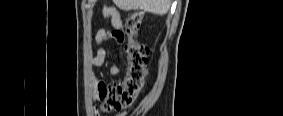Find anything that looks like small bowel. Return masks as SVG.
Listing matches in <instances>:
<instances>
[{
	"instance_id": "c3829d8e",
	"label": "small bowel",
	"mask_w": 283,
	"mask_h": 116,
	"mask_svg": "<svg viewBox=\"0 0 283 116\" xmlns=\"http://www.w3.org/2000/svg\"><path fill=\"white\" fill-rule=\"evenodd\" d=\"M102 13L105 17L110 18L112 29L109 31L105 28H100L95 35L94 40H95L97 49H96L95 55L90 60L91 65L94 67H101L105 64L106 57H107V50L103 46V44L106 41L114 38L118 42H120L117 37V34L120 32V29L122 27V21H121L119 12L115 8L104 6L102 8ZM119 72H120V68H119L118 62L114 61L109 66V74L112 77H116L119 74ZM98 85H99V81L95 80L94 86H98ZM93 114L95 116L99 115L96 107L94 108Z\"/></svg>"
}]
</instances>
